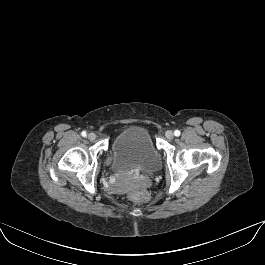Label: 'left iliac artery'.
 I'll list each match as a JSON object with an SVG mask.
<instances>
[{
  "label": "left iliac artery",
  "mask_w": 265,
  "mask_h": 265,
  "mask_svg": "<svg viewBox=\"0 0 265 265\" xmlns=\"http://www.w3.org/2000/svg\"><path fill=\"white\" fill-rule=\"evenodd\" d=\"M174 135L177 136V137L180 136V131L179 130H175L174 131Z\"/></svg>",
  "instance_id": "1"
}]
</instances>
